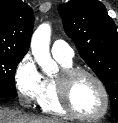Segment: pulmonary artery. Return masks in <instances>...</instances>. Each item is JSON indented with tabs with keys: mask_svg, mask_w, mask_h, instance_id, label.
Here are the masks:
<instances>
[{
	"mask_svg": "<svg viewBox=\"0 0 118 123\" xmlns=\"http://www.w3.org/2000/svg\"><path fill=\"white\" fill-rule=\"evenodd\" d=\"M51 53L57 60L71 62L74 56L73 49L64 41L57 40L51 46Z\"/></svg>",
	"mask_w": 118,
	"mask_h": 123,
	"instance_id": "1",
	"label": "pulmonary artery"
}]
</instances>
